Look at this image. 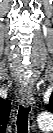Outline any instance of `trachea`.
I'll return each instance as SVG.
<instances>
[{
    "instance_id": "obj_1",
    "label": "trachea",
    "mask_w": 53,
    "mask_h": 133,
    "mask_svg": "<svg viewBox=\"0 0 53 133\" xmlns=\"http://www.w3.org/2000/svg\"><path fill=\"white\" fill-rule=\"evenodd\" d=\"M30 106H20L17 115V131L18 133H28V114Z\"/></svg>"
}]
</instances>
